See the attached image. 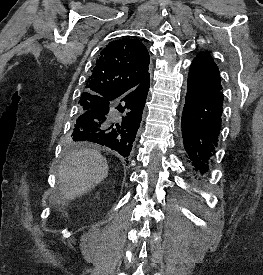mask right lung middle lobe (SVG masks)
Here are the masks:
<instances>
[{"instance_id": "dd1d6c3e", "label": "right lung middle lobe", "mask_w": 263, "mask_h": 275, "mask_svg": "<svg viewBox=\"0 0 263 275\" xmlns=\"http://www.w3.org/2000/svg\"><path fill=\"white\" fill-rule=\"evenodd\" d=\"M104 104H105V100L99 96L92 95V94L81 95V98L79 100V105H80L79 110L81 113L90 109L102 107ZM70 146L75 148L80 147V145H76L74 143H71Z\"/></svg>"}]
</instances>
